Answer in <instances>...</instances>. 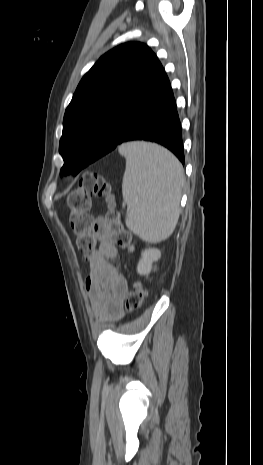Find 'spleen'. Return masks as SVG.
I'll return each instance as SVG.
<instances>
[{
    "label": "spleen",
    "mask_w": 263,
    "mask_h": 465,
    "mask_svg": "<svg viewBox=\"0 0 263 465\" xmlns=\"http://www.w3.org/2000/svg\"><path fill=\"white\" fill-rule=\"evenodd\" d=\"M126 158L122 194L127 204L126 226L147 242L168 238L179 218L183 168L166 149L145 142L119 147Z\"/></svg>",
    "instance_id": "spleen-1"
}]
</instances>
